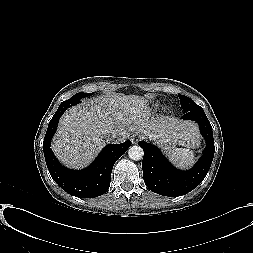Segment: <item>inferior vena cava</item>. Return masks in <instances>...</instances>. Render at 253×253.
Listing matches in <instances>:
<instances>
[{"label": "inferior vena cava", "mask_w": 253, "mask_h": 253, "mask_svg": "<svg viewBox=\"0 0 253 253\" xmlns=\"http://www.w3.org/2000/svg\"><path fill=\"white\" fill-rule=\"evenodd\" d=\"M128 136V133L126 132H121V133H118V132H112L109 136V140H114V139H117L119 141H124Z\"/></svg>", "instance_id": "1"}]
</instances>
